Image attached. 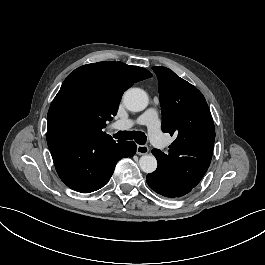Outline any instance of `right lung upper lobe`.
I'll list each match as a JSON object with an SVG mask.
<instances>
[{
  "label": "right lung upper lobe",
  "instance_id": "cb5924a9",
  "mask_svg": "<svg viewBox=\"0 0 265 265\" xmlns=\"http://www.w3.org/2000/svg\"><path fill=\"white\" fill-rule=\"evenodd\" d=\"M151 76L144 68L122 62L104 61L83 65L68 75L53 101L72 92L90 96L103 109V116L94 135H106L102 129L106 121L116 115L123 92L134 83Z\"/></svg>",
  "mask_w": 265,
  "mask_h": 265
}]
</instances>
